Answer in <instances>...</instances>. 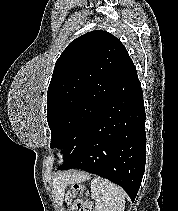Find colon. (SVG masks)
<instances>
[{"instance_id": "5ec220e1", "label": "colon", "mask_w": 178, "mask_h": 211, "mask_svg": "<svg viewBox=\"0 0 178 211\" xmlns=\"http://www.w3.org/2000/svg\"><path fill=\"white\" fill-rule=\"evenodd\" d=\"M84 187L80 183H74L65 193L64 199L70 209H74L76 197L83 191Z\"/></svg>"}]
</instances>
